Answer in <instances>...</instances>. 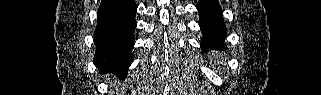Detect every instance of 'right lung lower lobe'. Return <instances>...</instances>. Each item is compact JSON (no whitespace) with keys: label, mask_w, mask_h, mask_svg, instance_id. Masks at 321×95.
I'll list each match as a JSON object with an SVG mask.
<instances>
[{"label":"right lung lower lobe","mask_w":321,"mask_h":95,"mask_svg":"<svg viewBox=\"0 0 321 95\" xmlns=\"http://www.w3.org/2000/svg\"><path fill=\"white\" fill-rule=\"evenodd\" d=\"M136 10L134 0L101 1L94 34L97 48L93 60L101 71L120 76L127 73L135 44Z\"/></svg>","instance_id":"98d812e1"}]
</instances>
